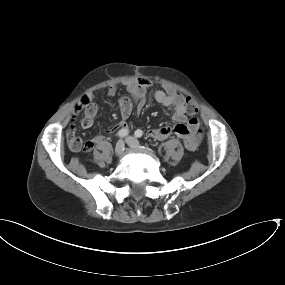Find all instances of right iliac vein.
<instances>
[{
    "label": "right iliac vein",
    "instance_id": "63e3f726",
    "mask_svg": "<svg viewBox=\"0 0 285 285\" xmlns=\"http://www.w3.org/2000/svg\"><path fill=\"white\" fill-rule=\"evenodd\" d=\"M124 151V142L119 140L115 146V154L116 156L120 157Z\"/></svg>",
    "mask_w": 285,
    "mask_h": 285
}]
</instances>
